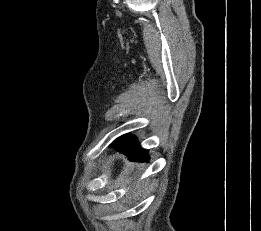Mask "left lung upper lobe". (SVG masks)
<instances>
[{"label": "left lung upper lobe", "instance_id": "5c2ea615", "mask_svg": "<svg viewBox=\"0 0 261 231\" xmlns=\"http://www.w3.org/2000/svg\"><path fill=\"white\" fill-rule=\"evenodd\" d=\"M125 139H135V137L129 136L128 134H126V135H123V136L117 138L113 143L118 142L120 140H125Z\"/></svg>", "mask_w": 261, "mask_h": 231}]
</instances>
